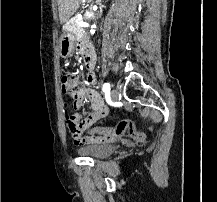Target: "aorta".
Returning a JSON list of instances; mask_svg holds the SVG:
<instances>
[{"instance_id": "aorta-1", "label": "aorta", "mask_w": 217, "mask_h": 202, "mask_svg": "<svg viewBox=\"0 0 217 202\" xmlns=\"http://www.w3.org/2000/svg\"><path fill=\"white\" fill-rule=\"evenodd\" d=\"M93 28H96V26H93ZM90 34H95V30H90Z\"/></svg>"}]
</instances>
